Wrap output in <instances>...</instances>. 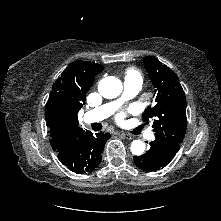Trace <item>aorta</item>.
<instances>
[{
	"label": "aorta",
	"mask_w": 221,
	"mask_h": 221,
	"mask_svg": "<svg viewBox=\"0 0 221 221\" xmlns=\"http://www.w3.org/2000/svg\"><path fill=\"white\" fill-rule=\"evenodd\" d=\"M122 82L113 76L103 78L98 85L99 93L107 99L116 98L122 92ZM145 151V143L141 140H134L131 143V152L133 155L139 156Z\"/></svg>",
	"instance_id": "aorta-1"
}]
</instances>
